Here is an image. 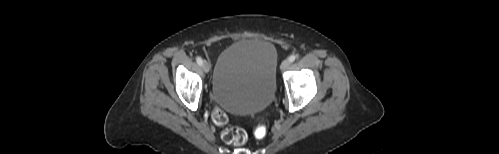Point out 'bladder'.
I'll list each match as a JSON object with an SVG mask.
<instances>
[{
    "mask_svg": "<svg viewBox=\"0 0 499 154\" xmlns=\"http://www.w3.org/2000/svg\"><path fill=\"white\" fill-rule=\"evenodd\" d=\"M277 52L260 39L240 40L218 57L212 79L213 100L234 114H249L270 106L276 89Z\"/></svg>",
    "mask_w": 499,
    "mask_h": 154,
    "instance_id": "1",
    "label": "bladder"
}]
</instances>
